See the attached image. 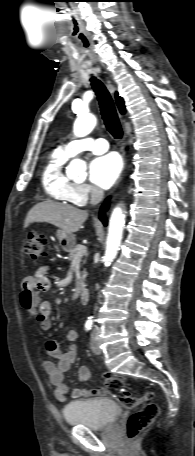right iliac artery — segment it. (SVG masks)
Here are the masks:
<instances>
[{
    "mask_svg": "<svg viewBox=\"0 0 195 456\" xmlns=\"http://www.w3.org/2000/svg\"><path fill=\"white\" fill-rule=\"evenodd\" d=\"M92 328V320H87L85 323V330L89 331Z\"/></svg>",
    "mask_w": 195,
    "mask_h": 456,
    "instance_id": "1",
    "label": "right iliac artery"
}]
</instances>
